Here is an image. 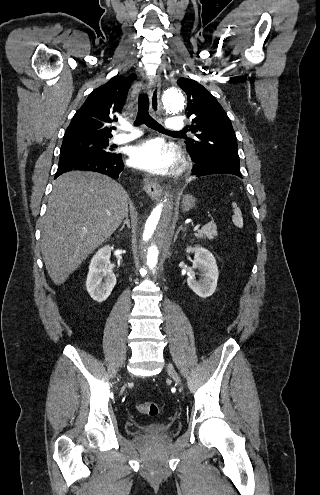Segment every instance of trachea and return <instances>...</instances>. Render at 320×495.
Here are the masks:
<instances>
[{
	"label": "trachea",
	"instance_id": "trachea-1",
	"mask_svg": "<svg viewBox=\"0 0 320 495\" xmlns=\"http://www.w3.org/2000/svg\"><path fill=\"white\" fill-rule=\"evenodd\" d=\"M145 124L148 127L157 130L159 132L163 133H176L180 134L182 132H172L166 130L162 125H160L158 122H156L150 115H149V99L147 94L142 93L139 96L138 100V113H137V118L135 120L134 125L138 126L140 124Z\"/></svg>",
	"mask_w": 320,
	"mask_h": 495
}]
</instances>
